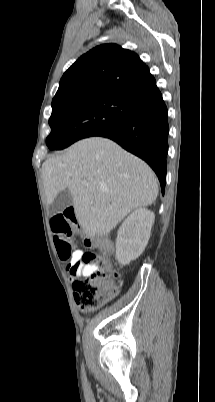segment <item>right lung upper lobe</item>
<instances>
[{
    "mask_svg": "<svg viewBox=\"0 0 215 402\" xmlns=\"http://www.w3.org/2000/svg\"><path fill=\"white\" fill-rule=\"evenodd\" d=\"M95 93L118 95L139 103L160 91L136 53L116 44H104L82 55L64 73L53 100Z\"/></svg>",
    "mask_w": 215,
    "mask_h": 402,
    "instance_id": "right-lung-upper-lobe-1",
    "label": "right lung upper lobe"
}]
</instances>
